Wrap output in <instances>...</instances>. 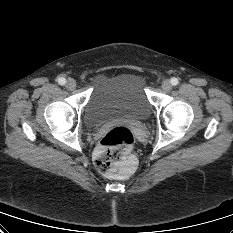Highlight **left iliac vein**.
Instances as JSON below:
<instances>
[{"label": "left iliac vein", "instance_id": "obj_1", "mask_svg": "<svg viewBox=\"0 0 233 233\" xmlns=\"http://www.w3.org/2000/svg\"><path fill=\"white\" fill-rule=\"evenodd\" d=\"M162 89L164 91H170L172 89L171 82L169 80H164L162 83Z\"/></svg>", "mask_w": 233, "mask_h": 233}]
</instances>
